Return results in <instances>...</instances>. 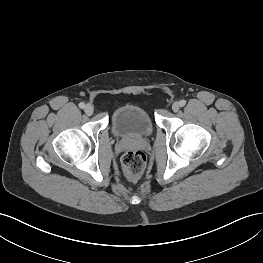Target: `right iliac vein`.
<instances>
[{
  "instance_id": "obj_1",
  "label": "right iliac vein",
  "mask_w": 263,
  "mask_h": 263,
  "mask_svg": "<svg viewBox=\"0 0 263 263\" xmlns=\"http://www.w3.org/2000/svg\"><path fill=\"white\" fill-rule=\"evenodd\" d=\"M84 111H85V113H86L87 115L90 116V115L93 114L94 108H93L92 105L87 104V105L85 106V108H84Z\"/></svg>"
}]
</instances>
